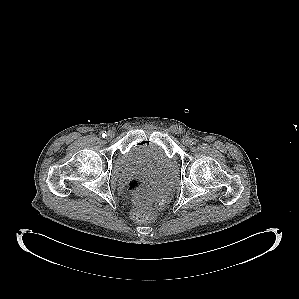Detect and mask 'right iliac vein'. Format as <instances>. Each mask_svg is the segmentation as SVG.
I'll use <instances>...</instances> for the list:
<instances>
[{
	"mask_svg": "<svg viewBox=\"0 0 299 299\" xmlns=\"http://www.w3.org/2000/svg\"><path fill=\"white\" fill-rule=\"evenodd\" d=\"M114 135H115V134H114V132H113V131H109V132H108V137H109V138H112V137H114Z\"/></svg>",
	"mask_w": 299,
	"mask_h": 299,
	"instance_id": "right-iliac-vein-1",
	"label": "right iliac vein"
}]
</instances>
